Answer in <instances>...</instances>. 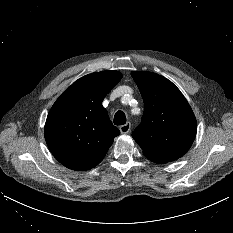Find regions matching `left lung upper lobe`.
<instances>
[{"label":"left lung upper lobe","mask_w":233,"mask_h":233,"mask_svg":"<svg viewBox=\"0 0 233 233\" xmlns=\"http://www.w3.org/2000/svg\"><path fill=\"white\" fill-rule=\"evenodd\" d=\"M144 102L141 124L132 133L144 155L159 164L182 157L197 129L194 113L180 90L156 73H131Z\"/></svg>","instance_id":"left-lung-upper-lobe-1"}]
</instances>
